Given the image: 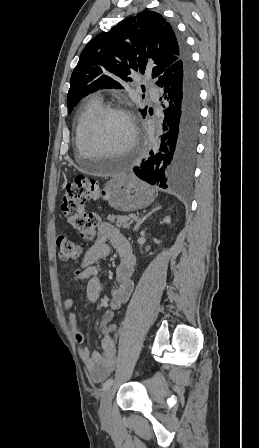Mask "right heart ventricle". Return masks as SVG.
<instances>
[{
  "label": "right heart ventricle",
  "instance_id": "right-heart-ventricle-1",
  "mask_svg": "<svg viewBox=\"0 0 259 448\" xmlns=\"http://www.w3.org/2000/svg\"><path fill=\"white\" fill-rule=\"evenodd\" d=\"M101 106L102 101L98 96H91L87 99L75 123L73 133L74 148H80L82 150L81 132L83 126L101 108Z\"/></svg>",
  "mask_w": 259,
  "mask_h": 448
}]
</instances>
